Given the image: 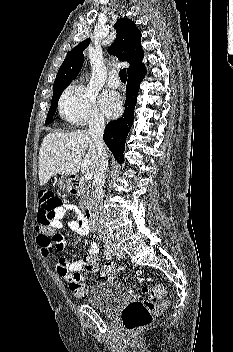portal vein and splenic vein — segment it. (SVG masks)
<instances>
[{"label":"portal vein and splenic vein","mask_w":233,"mask_h":352,"mask_svg":"<svg viewBox=\"0 0 233 352\" xmlns=\"http://www.w3.org/2000/svg\"><path fill=\"white\" fill-rule=\"evenodd\" d=\"M84 178H85L86 180H91V179H92V174H91L90 172H85Z\"/></svg>","instance_id":"portal-vein-and-splenic-vein-1"}]
</instances>
